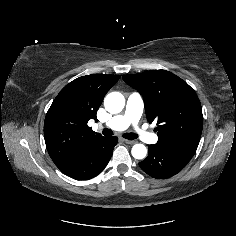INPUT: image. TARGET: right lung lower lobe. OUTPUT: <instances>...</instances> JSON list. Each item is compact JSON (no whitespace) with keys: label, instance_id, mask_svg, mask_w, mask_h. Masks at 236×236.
I'll return each instance as SVG.
<instances>
[{"label":"right lung lower lobe","instance_id":"98d812e1","mask_svg":"<svg viewBox=\"0 0 236 236\" xmlns=\"http://www.w3.org/2000/svg\"><path fill=\"white\" fill-rule=\"evenodd\" d=\"M118 138L103 137L90 150H88L64 174L76 180H87L97 176L109 162Z\"/></svg>","mask_w":236,"mask_h":236}]
</instances>
